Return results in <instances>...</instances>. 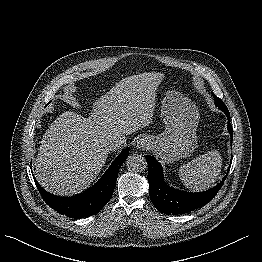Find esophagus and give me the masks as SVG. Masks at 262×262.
I'll use <instances>...</instances> for the list:
<instances>
[{"label":"esophagus","mask_w":262,"mask_h":262,"mask_svg":"<svg viewBox=\"0 0 262 262\" xmlns=\"http://www.w3.org/2000/svg\"><path fill=\"white\" fill-rule=\"evenodd\" d=\"M137 149L147 151L151 149V141L147 137H142L137 141Z\"/></svg>","instance_id":"esophagus-1"}]
</instances>
